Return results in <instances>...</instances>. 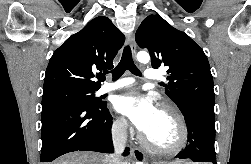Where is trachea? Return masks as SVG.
<instances>
[{"label":"trachea","instance_id":"3493384b","mask_svg":"<svg viewBox=\"0 0 251 164\" xmlns=\"http://www.w3.org/2000/svg\"><path fill=\"white\" fill-rule=\"evenodd\" d=\"M126 70H129L134 75L141 76L140 70L135 66L133 62L131 49L129 46H126L124 48L119 64L111 71L113 80L119 79Z\"/></svg>","mask_w":251,"mask_h":164}]
</instances>
